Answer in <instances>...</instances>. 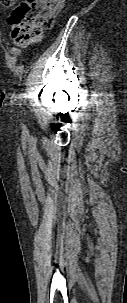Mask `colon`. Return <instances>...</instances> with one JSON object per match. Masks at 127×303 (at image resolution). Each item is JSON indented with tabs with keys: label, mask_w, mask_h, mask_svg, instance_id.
<instances>
[{
	"label": "colon",
	"mask_w": 127,
	"mask_h": 303,
	"mask_svg": "<svg viewBox=\"0 0 127 303\" xmlns=\"http://www.w3.org/2000/svg\"><path fill=\"white\" fill-rule=\"evenodd\" d=\"M3 6L10 7L15 0H0ZM64 0H24L13 10L9 22L12 25L13 42L20 47L38 42L45 29L52 26Z\"/></svg>",
	"instance_id": "1"
}]
</instances>
